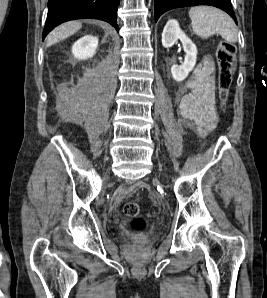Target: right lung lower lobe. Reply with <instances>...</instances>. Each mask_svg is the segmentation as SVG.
Listing matches in <instances>:
<instances>
[{"label": "right lung lower lobe", "mask_w": 267, "mask_h": 298, "mask_svg": "<svg viewBox=\"0 0 267 298\" xmlns=\"http://www.w3.org/2000/svg\"><path fill=\"white\" fill-rule=\"evenodd\" d=\"M119 3L120 0H48L43 39L57 25L82 18L106 21L118 31L116 23Z\"/></svg>", "instance_id": "right-lung-lower-lobe-1"}]
</instances>
